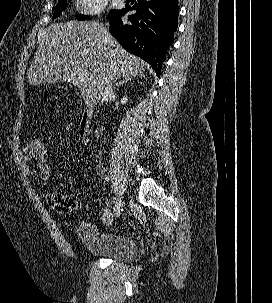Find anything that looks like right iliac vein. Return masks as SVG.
I'll list each match as a JSON object with an SVG mask.
<instances>
[{
    "instance_id": "right-iliac-vein-1",
    "label": "right iliac vein",
    "mask_w": 272,
    "mask_h": 303,
    "mask_svg": "<svg viewBox=\"0 0 272 303\" xmlns=\"http://www.w3.org/2000/svg\"><path fill=\"white\" fill-rule=\"evenodd\" d=\"M116 207H117V210L115 212V215H116V218H118L123 211V201H122L121 197L118 198Z\"/></svg>"
}]
</instances>
